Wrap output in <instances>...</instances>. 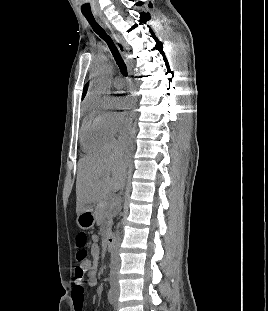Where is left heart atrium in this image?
<instances>
[{
	"label": "left heart atrium",
	"mask_w": 268,
	"mask_h": 311,
	"mask_svg": "<svg viewBox=\"0 0 268 311\" xmlns=\"http://www.w3.org/2000/svg\"><path fill=\"white\" fill-rule=\"evenodd\" d=\"M114 106L118 109H128L130 106L129 99L125 97H115L113 99Z\"/></svg>",
	"instance_id": "left-heart-atrium-1"
}]
</instances>
